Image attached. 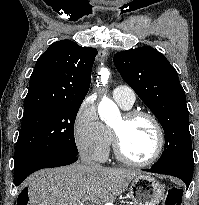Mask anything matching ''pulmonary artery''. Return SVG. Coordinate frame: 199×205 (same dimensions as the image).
I'll return each instance as SVG.
<instances>
[{
	"label": "pulmonary artery",
	"instance_id": "e3ab8cb5",
	"mask_svg": "<svg viewBox=\"0 0 199 205\" xmlns=\"http://www.w3.org/2000/svg\"><path fill=\"white\" fill-rule=\"evenodd\" d=\"M113 96L118 103H122L126 106H132L136 99L133 89L126 85L117 86L114 89Z\"/></svg>",
	"mask_w": 199,
	"mask_h": 205
}]
</instances>
